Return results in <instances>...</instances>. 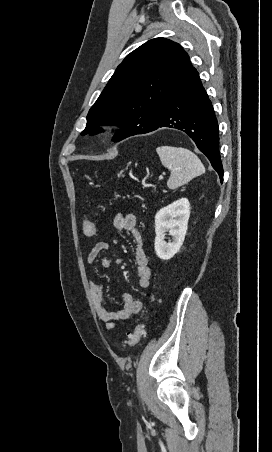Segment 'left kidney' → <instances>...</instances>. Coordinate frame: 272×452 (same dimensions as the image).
I'll return each instance as SVG.
<instances>
[{
  "mask_svg": "<svg viewBox=\"0 0 272 452\" xmlns=\"http://www.w3.org/2000/svg\"><path fill=\"white\" fill-rule=\"evenodd\" d=\"M190 203L181 198L160 209L155 216V252L162 260L171 259L181 248L188 228ZM172 241L166 242V233Z\"/></svg>",
  "mask_w": 272,
  "mask_h": 452,
  "instance_id": "1",
  "label": "left kidney"
}]
</instances>
